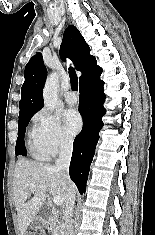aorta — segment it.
I'll return each instance as SVG.
<instances>
[{"instance_id": "1", "label": "aorta", "mask_w": 155, "mask_h": 235, "mask_svg": "<svg viewBox=\"0 0 155 235\" xmlns=\"http://www.w3.org/2000/svg\"><path fill=\"white\" fill-rule=\"evenodd\" d=\"M59 86V76L57 73H51L43 89V100L48 110L53 111L58 102L57 90Z\"/></svg>"}]
</instances>
